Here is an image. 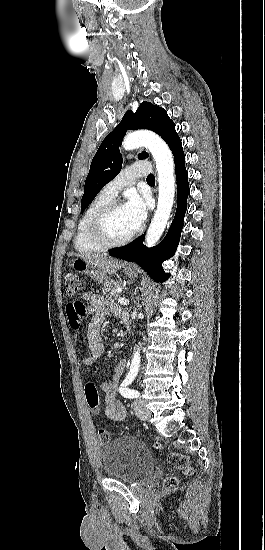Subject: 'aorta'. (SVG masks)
<instances>
[{
  "instance_id": "1",
  "label": "aorta",
  "mask_w": 265,
  "mask_h": 550,
  "mask_svg": "<svg viewBox=\"0 0 265 550\" xmlns=\"http://www.w3.org/2000/svg\"><path fill=\"white\" fill-rule=\"evenodd\" d=\"M125 150L145 146L151 152L158 171L159 196L157 210L146 234V245L151 247L160 239L167 225L175 195L174 161L167 144L157 135L139 131L127 135L123 141ZM140 367V354L135 351L130 366V375H137Z\"/></svg>"
}]
</instances>
